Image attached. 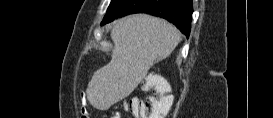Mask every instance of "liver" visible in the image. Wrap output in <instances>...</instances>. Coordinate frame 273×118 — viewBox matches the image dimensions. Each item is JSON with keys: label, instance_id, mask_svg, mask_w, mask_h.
<instances>
[{"label": "liver", "instance_id": "obj_1", "mask_svg": "<svg viewBox=\"0 0 273 118\" xmlns=\"http://www.w3.org/2000/svg\"><path fill=\"white\" fill-rule=\"evenodd\" d=\"M110 36L111 61L93 74L86 90L90 104L100 110L129 96L153 64L167 58L180 41L173 25L147 14L118 20Z\"/></svg>", "mask_w": 273, "mask_h": 118}]
</instances>
